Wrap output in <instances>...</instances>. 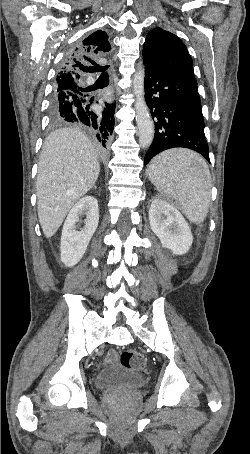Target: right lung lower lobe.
I'll return each mask as SVG.
<instances>
[{
  "label": "right lung lower lobe",
  "mask_w": 250,
  "mask_h": 454,
  "mask_svg": "<svg viewBox=\"0 0 250 454\" xmlns=\"http://www.w3.org/2000/svg\"><path fill=\"white\" fill-rule=\"evenodd\" d=\"M71 94L74 98L66 92L59 93L57 99L51 102L50 113L52 111L53 115L64 123L71 122L82 126L106 147L115 124V104L106 103L102 112H95L91 108L93 97Z\"/></svg>",
  "instance_id": "right-lung-lower-lobe-1"
}]
</instances>
